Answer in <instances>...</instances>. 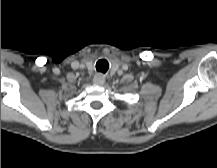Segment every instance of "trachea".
<instances>
[{
	"label": "trachea",
	"mask_w": 217,
	"mask_h": 168,
	"mask_svg": "<svg viewBox=\"0 0 217 168\" xmlns=\"http://www.w3.org/2000/svg\"><path fill=\"white\" fill-rule=\"evenodd\" d=\"M108 68H109V64L105 59H101L96 63V69L98 72L105 73L107 72Z\"/></svg>",
	"instance_id": "obj_1"
}]
</instances>
